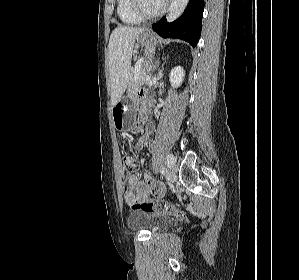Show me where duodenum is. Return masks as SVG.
I'll list each match as a JSON object with an SVG mask.
<instances>
[{"label": "duodenum", "mask_w": 299, "mask_h": 280, "mask_svg": "<svg viewBox=\"0 0 299 280\" xmlns=\"http://www.w3.org/2000/svg\"><path fill=\"white\" fill-rule=\"evenodd\" d=\"M139 108L144 114H146V105H145V102L142 100L141 96L139 99Z\"/></svg>", "instance_id": "410a0bca"}]
</instances>
